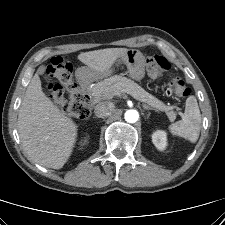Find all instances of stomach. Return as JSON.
<instances>
[{
  "label": "stomach",
  "mask_w": 225,
  "mask_h": 225,
  "mask_svg": "<svg viewBox=\"0 0 225 225\" xmlns=\"http://www.w3.org/2000/svg\"><path fill=\"white\" fill-rule=\"evenodd\" d=\"M118 61L126 65L129 76L132 79L141 81L144 78L146 59L139 50L128 49L119 57ZM83 70L86 72L89 78H93L99 74L89 67L83 68Z\"/></svg>",
  "instance_id": "stomach-1"
}]
</instances>
